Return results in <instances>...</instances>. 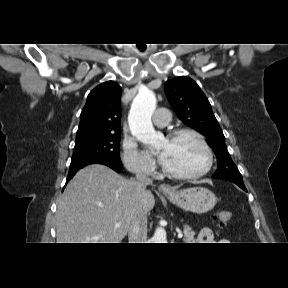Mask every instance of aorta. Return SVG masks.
I'll return each instance as SVG.
<instances>
[{
  "label": "aorta",
  "mask_w": 288,
  "mask_h": 288,
  "mask_svg": "<svg viewBox=\"0 0 288 288\" xmlns=\"http://www.w3.org/2000/svg\"><path fill=\"white\" fill-rule=\"evenodd\" d=\"M155 94L144 89L134 98L128 116L130 131L143 144L157 146L160 144V135L156 133L151 116L156 108ZM153 243H167L164 228L157 227L152 237Z\"/></svg>",
  "instance_id": "1"
}]
</instances>
